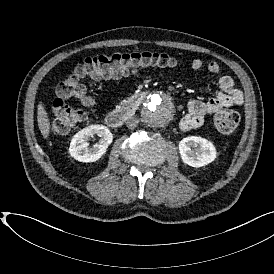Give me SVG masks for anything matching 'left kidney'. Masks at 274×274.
<instances>
[{"label": "left kidney", "instance_id": "1", "mask_svg": "<svg viewBox=\"0 0 274 274\" xmlns=\"http://www.w3.org/2000/svg\"><path fill=\"white\" fill-rule=\"evenodd\" d=\"M198 148L194 150L192 148ZM179 153L182 161L194 168H201L214 162L217 158L215 145L199 136H188L179 142Z\"/></svg>", "mask_w": 274, "mask_h": 274}]
</instances>
